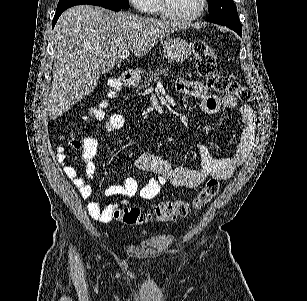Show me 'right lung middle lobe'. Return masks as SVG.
Segmentation results:
<instances>
[{
	"label": "right lung middle lobe",
	"instance_id": "dd1d6c3e",
	"mask_svg": "<svg viewBox=\"0 0 307 301\" xmlns=\"http://www.w3.org/2000/svg\"><path fill=\"white\" fill-rule=\"evenodd\" d=\"M81 4L111 5L122 9L129 8L128 0H59L56 11L65 10L69 7Z\"/></svg>",
	"mask_w": 307,
	"mask_h": 301
}]
</instances>
